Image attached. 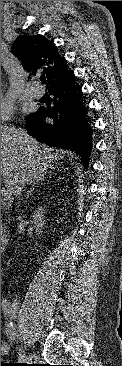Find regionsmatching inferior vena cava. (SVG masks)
<instances>
[{"label": "inferior vena cava", "instance_id": "inferior-vena-cava-1", "mask_svg": "<svg viewBox=\"0 0 122 366\" xmlns=\"http://www.w3.org/2000/svg\"><path fill=\"white\" fill-rule=\"evenodd\" d=\"M23 190H24V186L23 185L20 186V187H18L17 196H18V198H19L20 201L23 200V198H22V192H23ZM18 204H20V202H18Z\"/></svg>", "mask_w": 122, "mask_h": 366}]
</instances>
